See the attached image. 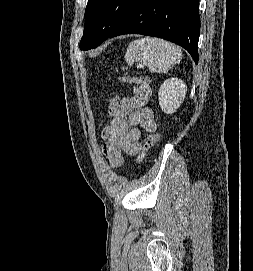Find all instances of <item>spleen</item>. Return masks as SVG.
Listing matches in <instances>:
<instances>
[{"label": "spleen", "mask_w": 253, "mask_h": 271, "mask_svg": "<svg viewBox=\"0 0 253 271\" xmlns=\"http://www.w3.org/2000/svg\"><path fill=\"white\" fill-rule=\"evenodd\" d=\"M181 49L163 39L144 37L132 41L125 53L129 66L134 62L146 65L152 73H166L181 60Z\"/></svg>", "instance_id": "spleen-1"}]
</instances>
